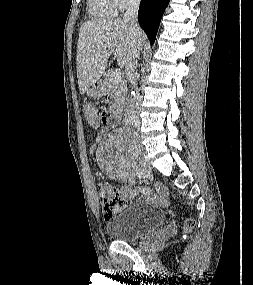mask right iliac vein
<instances>
[{"mask_svg":"<svg viewBox=\"0 0 253 285\" xmlns=\"http://www.w3.org/2000/svg\"><path fill=\"white\" fill-rule=\"evenodd\" d=\"M140 171L144 177L148 176V174L151 171L150 162L146 157H144L143 160L141 161Z\"/></svg>","mask_w":253,"mask_h":285,"instance_id":"obj_1","label":"right iliac vein"}]
</instances>
